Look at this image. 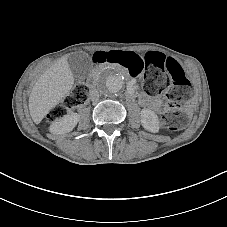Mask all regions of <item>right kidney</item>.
Segmentation results:
<instances>
[{"instance_id":"right-kidney-1","label":"right kidney","mask_w":227,"mask_h":227,"mask_svg":"<svg viewBox=\"0 0 227 227\" xmlns=\"http://www.w3.org/2000/svg\"><path fill=\"white\" fill-rule=\"evenodd\" d=\"M79 121L77 113L64 115L63 117L55 120L49 127V132L52 134H65L71 132Z\"/></svg>"}]
</instances>
